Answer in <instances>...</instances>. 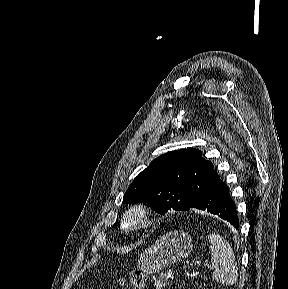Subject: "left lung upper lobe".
<instances>
[{"label":"left lung upper lobe","instance_id":"5c2ea615","mask_svg":"<svg viewBox=\"0 0 288 289\" xmlns=\"http://www.w3.org/2000/svg\"><path fill=\"white\" fill-rule=\"evenodd\" d=\"M219 178L200 150L165 153L138 174L125 192L123 203H147L160 214L171 209L186 211Z\"/></svg>","mask_w":288,"mask_h":289}]
</instances>
